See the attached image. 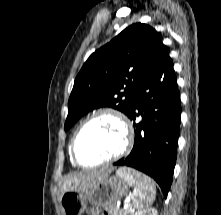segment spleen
Masks as SVG:
<instances>
[{"label":"spleen","instance_id":"1","mask_svg":"<svg viewBox=\"0 0 221 215\" xmlns=\"http://www.w3.org/2000/svg\"><path fill=\"white\" fill-rule=\"evenodd\" d=\"M117 175L124 176L130 185L134 186L131 205L138 211L143 210L154 202L155 200V186L149 177H144L143 180L133 178L128 173H123L121 170L117 171Z\"/></svg>","mask_w":221,"mask_h":215}]
</instances>
